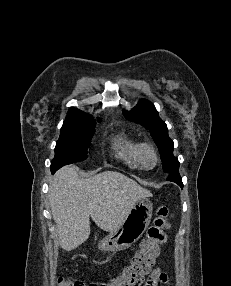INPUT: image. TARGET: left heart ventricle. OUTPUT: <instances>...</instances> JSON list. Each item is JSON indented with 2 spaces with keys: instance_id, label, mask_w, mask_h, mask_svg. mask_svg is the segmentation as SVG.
<instances>
[{
  "instance_id": "1",
  "label": "left heart ventricle",
  "mask_w": 231,
  "mask_h": 286,
  "mask_svg": "<svg viewBox=\"0 0 231 286\" xmlns=\"http://www.w3.org/2000/svg\"><path fill=\"white\" fill-rule=\"evenodd\" d=\"M153 162H154L153 158L151 156H149L148 159H147V164L149 166H151L153 164Z\"/></svg>"
}]
</instances>
